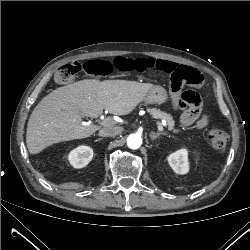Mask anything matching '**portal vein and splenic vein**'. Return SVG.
<instances>
[{
  "mask_svg": "<svg viewBox=\"0 0 250 250\" xmlns=\"http://www.w3.org/2000/svg\"><path fill=\"white\" fill-rule=\"evenodd\" d=\"M163 123H165V121H163ZM101 124H102L103 126H109V125L113 124V120L108 118V119L103 120V121L101 122ZM157 128H158L159 131H163V127H162L161 124H158V125H157Z\"/></svg>",
  "mask_w": 250,
  "mask_h": 250,
  "instance_id": "portal-vein-and-splenic-vein-1",
  "label": "portal vein and splenic vein"
}]
</instances>
